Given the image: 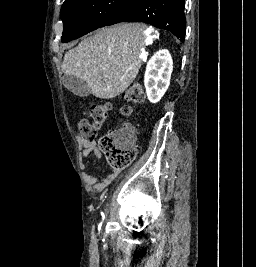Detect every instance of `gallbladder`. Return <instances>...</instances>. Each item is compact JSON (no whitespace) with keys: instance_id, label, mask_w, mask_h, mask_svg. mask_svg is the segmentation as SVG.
I'll return each instance as SVG.
<instances>
[{"instance_id":"bac80fb5","label":"gallbladder","mask_w":256,"mask_h":267,"mask_svg":"<svg viewBox=\"0 0 256 267\" xmlns=\"http://www.w3.org/2000/svg\"><path fill=\"white\" fill-rule=\"evenodd\" d=\"M63 86L67 88V90H70L72 94H75V96H80V98H85V96H90V88L87 84V82H84V80H80V78H76V76H63L61 80Z\"/></svg>"}]
</instances>
